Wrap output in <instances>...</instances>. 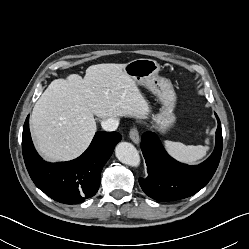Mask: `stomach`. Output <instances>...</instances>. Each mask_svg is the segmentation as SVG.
<instances>
[{
	"label": "stomach",
	"mask_w": 249,
	"mask_h": 249,
	"mask_svg": "<svg viewBox=\"0 0 249 249\" xmlns=\"http://www.w3.org/2000/svg\"><path fill=\"white\" fill-rule=\"evenodd\" d=\"M124 73L137 84L145 86L162 103L160 112L152 116L156 129L165 134L173 126L176 95L171 82L159 76L160 66L152 59H134L124 65Z\"/></svg>",
	"instance_id": "0dacf381"
}]
</instances>
